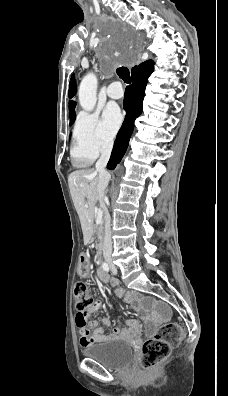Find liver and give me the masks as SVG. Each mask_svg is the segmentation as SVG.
I'll return each instance as SVG.
<instances>
[{"label": "liver", "instance_id": "6515ba94", "mask_svg": "<svg viewBox=\"0 0 228 396\" xmlns=\"http://www.w3.org/2000/svg\"><path fill=\"white\" fill-rule=\"evenodd\" d=\"M98 182L99 173L94 169L76 170L68 177L70 194L81 222L85 242L92 232L94 206L97 201L102 203L97 188Z\"/></svg>", "mask_w": 228, "mask_h": 396}]
</instances>
